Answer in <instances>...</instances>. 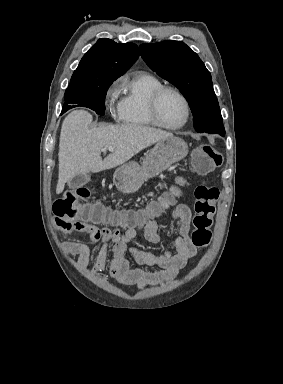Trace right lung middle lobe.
Segmentation results:
<instances>
[{"label": "right lung middle lobe", "mask_w": 283, "mask_h": 384, "mask_svg": "<svg viewBox=\"0 0 283 384\" xmlns=\"http://www.w3.org/2000/svg\"><path fill=\"white\" fill-rule=\"evenodd\" d=\"M111 84L112 83H106L82 88L67 89L65 92V103L62 108V112H65L73 107L81 106L90 108L99 115H104L105 97Z\"/></svg>", "instance_id": "dd1d6c3e"}]
</instances>
